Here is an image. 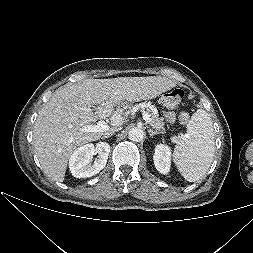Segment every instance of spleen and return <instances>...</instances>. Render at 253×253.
Segmentation results:
<instances>
[{
	"label": "spleen",
	"instance_id": "1",
	"mask_svg": "<svg viewBox=\"0 0 253 253\" xmlns=\"http://www.w3.org/2000/svg\"><path fill=\"white\" fill-rule=\"evenodd\" d=\"M214 151L212 120L205 110L198 109L187 124V134L174 149V163L187 181L195 182L209 170Z\"/></svg>",
	"mask_w": 253,
	"mask_h": 253
}]
</instances>
